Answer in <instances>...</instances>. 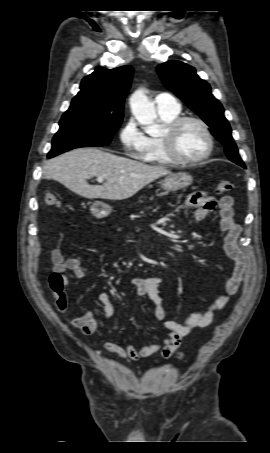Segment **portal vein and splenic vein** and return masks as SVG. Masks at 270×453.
<instances>
[{"mask_svg": "<svg viewBox=\"0 0 270 453\" xmlns=\"http://www.w3.org/2000/svg\"><path fill=\"white\" fill-rule=\"evenodd\" d=\"M103 180H104V178H103V177H97V181H98V182L102 183V182H103Z\"/></svg>", "mask_w": 270, "mask_h": 453, "instance_id": "18ae733b", "label": "portal vein and splenic vein"}]
</instances>
